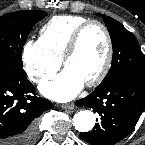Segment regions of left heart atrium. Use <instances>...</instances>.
<instances>
[{
	"label": "left heart atrium",
	"instance_id": "obj_1",
	"mask_svg": "<svg viewBox=\"0 0 145 145\" xmlns=\"http://www.w3.org/2000/svg\"><path fill=\"white\" fill-rule=\"evenodd\" d=\"M84 80L71 68L64 70L52 81L43 83L41 92L56 101H68L75 97L83 88Z\"/></svg>",
	"mask_w": 145,
	"mask_h": 145
}]
</instances>
